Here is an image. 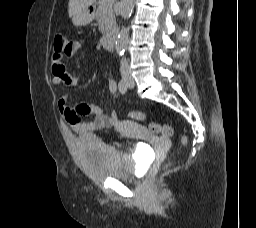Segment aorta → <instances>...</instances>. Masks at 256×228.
Wrapping results in <instances>:
<instances>
[{"mask_svg":"<svg viewBox=\"0 0 256 228\" xmlns=\"http://www.w3.org/2000/svg\"><path fill=\"white\" fill-rule=\"evenodd\" d=\"M135 5V0H121L120 14L121 17L126 20L130 17ZM129 28H123L117 36L115 42V50L119 56H122L125 52L128 42Z\"/></svg>","mask_w":256,"mask_h":228,"instance_id":"1","label":"aorta"}]
</instances>
